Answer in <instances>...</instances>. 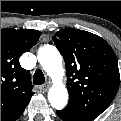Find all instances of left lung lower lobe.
<instances>
[{
  "mask_svg": "<svg viewBox=\"0 0 121 121\" xmlns=\"http://www.w3.org/2000/svg\"><path fill=\"white\" fill-rule=\"evenodd\" d=\"M57 115H58L61 119H63L64 121H87V120H84V119H80V118L71 116V115L65 113V112L62 111V110L57 111Z\"/></svg>",
  "mask_w": 121,
  "mask_h": 121,
  "instance_id": "obj_1",
  "label": "left lung lower lobe"
}]
</instances>
